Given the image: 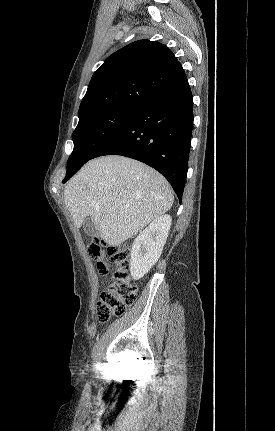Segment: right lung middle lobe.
Returning a JSON list of instances; mask_svg holds the SVG:
<instances>
[{"instance_id": "dd1d6c3e", "label": "right lung middle lobe", "mask_w": 275, "mask_h": 431, "mask_svg": "<svg viewBox=\"0 0 275 431\" xmlns=\"http://www.w3.org/2000/svg\"><path fill=\"white\" fill-rule=\"evenodd\" d=\"M138 108L117 107L100 110L79 118L73 132L74 149L67 162L63 182L76 173L137 112Z\"/></svg>"}]
</instances>
